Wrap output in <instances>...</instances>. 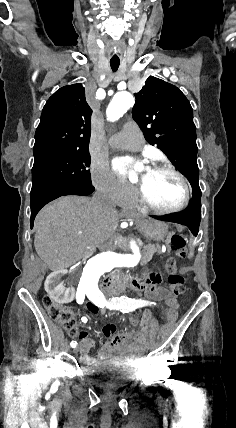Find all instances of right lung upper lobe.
<instances>
[{
    "instance_id": "right-lung-upper-lobe-1",
    "label": "right lung upper lobe",
    "mask_w": 236,
    "mask_h": 428,
    "mask_svg": "<svg viewBox=\"0 0 236 428\" xmlns=\"http://www.w3.org/2000/svg\"><path fill=\"white\" fill-rule=\"evenodd\" d=\"M91 114L82 84L60 88L43 108L33 151L88 148Z\"/></svg>"
}]
</instances>
